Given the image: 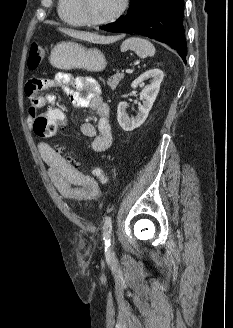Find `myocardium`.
<instances>
[{
	"mask_svg": "<svg viewBox=\"0 0 233 328\" xmlns=\"http://www.w3.org/2000/svg\"><path fill=\"white\" fill-rule=\"evenodd\" d=\"M127 7H128V0H121L118 9L114 13H112L106 18L95 20L87 15L85 11L84 0H76V9L79 15L81 16L84 23L89 26H102L113 22L124 14Z\"/></svg>",
	"mask_w": 233,
	"mask_h": 328,
	"instance_id": "1",
	"label": "myocardium"
}]
</instances>
